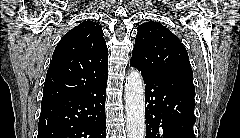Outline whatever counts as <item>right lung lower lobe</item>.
Instances as JSON below:
<instances>
[{
    "label": "right lung lower lobe",
    "mask_w": 240,
    "mask_h": 138,
    "mask_svg": "<svg viewBox=\"0 0 240 138\" xmlns=\"http://www.w3.org/2000/svg\"><path fill=\"white\" fill-rule=\"evenodd\" d=\"M106 83L41 106L37 138H105Z\"/></svg>",
    "instance_id": "98d812e1"
}]
</instances>
